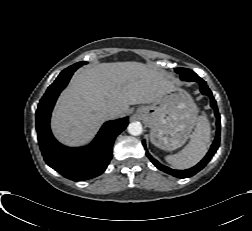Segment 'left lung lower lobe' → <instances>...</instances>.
I'll list each match as a JSON object with an SVG mask.
<instances>
[{
    "label": "left lung lower lobe",
    "instance_id": "1",
    "mask_svg": "<svg viewBox=\"0 0 252 231\" xmlns=\"http://www.w3.org/2000/svg\"><path fill=\"white\" fill-rule=\"evenodd\" d=\"M181 79L185 80V81L198 82L200 84V91L202 92V94L210 97L211 107L214 109L215 116L217 118V121H216L217 131H216V137L214 139V142L211 145V148H210L209 152L207 153V155L204 157V159H202L196 166H194L188 170H173L171 168H168V167L160 164L157 160L153 159L152 156L148 153V151H146V155L148 156V158L151 160V162L158 169H160L168 174H171L177 178H188V177L193 176L194 174H196L200 170H202L205 167V165L211 160V158L213 157L215 152L217 151V149L219 147V143H220V129L221 128H220V115H219V112L217 109L216 101L212 95L211 90L206 85V82L203 79H201L196 73L187 75V76H185L184 79L183 78H181ZM142 143H143L144 148L146 149L145 141H143Z\"/></svg>",
    "mask_w": 252,
    "mask_h": 231
}]
</instances>
